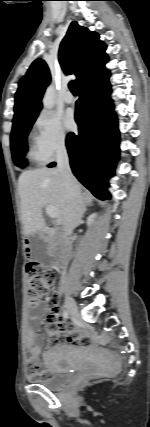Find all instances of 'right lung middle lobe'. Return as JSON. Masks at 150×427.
<instances>
[{
	"mask_svg": "<svg viewBox=\"0 0 150 427\" xmlns=\"http://www.w3.org/2000/svg\"><path fill=\"white\" fill-rule=\"evenodd\" d=\"M37 115L13 123L11 133V150L16 166L23 168L26 165L24 158L27 151L26 137Z\"/></svg>",
	"mask_w": 150,
	"mask_h": 427,
	"instance_id": "right-lung-middle-lobe-1",
	"label": "right lung middle lobe"
}]
</instances>
